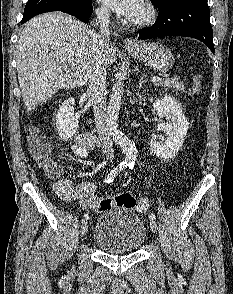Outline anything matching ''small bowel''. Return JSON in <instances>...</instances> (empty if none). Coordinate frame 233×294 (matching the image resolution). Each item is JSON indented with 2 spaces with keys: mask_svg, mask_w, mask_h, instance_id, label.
<instances>
[{
  "mask_svg": "<svg viewBox=\"0 0 233 294\" xmlns=\"http://www.w3.org/2000/svg\"><path fill=\"white\" fill-rule=\"evenodd\" d=\"M71 151L79 156L86 157L88 155L89 146L79 136L77 141L71 146ZM56 194L66 202L77 201L80 206H91L93 200H101L94 197L95 186L91 182H82L75 185L69 179H59L54 184Z\"/></svg>",
  "mask_w": 233,
  "mask_h": 294,
  "instance_id": "c3829d8e",
  "label": "small bowel"
}]
</instances>
